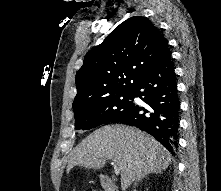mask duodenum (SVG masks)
I'll return each mask as SVG.
<instances>
[{
  "mask_svg": "<svg viewBox=\"0 0 221 191\" xmlns=\"http://www.w3.org/2000/svg\"><path fill=\"white\" fill-rule=\"evenodd\" d=\"M100 184L104 188L105 191H118L116 184L107 175L100 176Z\"/></svg>",
  "mask_w": 221,
  "mask_h": 191,
  "instance_id": "duodenum-1",
  "label": "duodenum"
}]
</instances>
